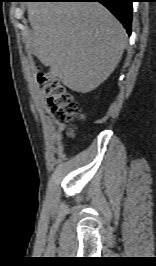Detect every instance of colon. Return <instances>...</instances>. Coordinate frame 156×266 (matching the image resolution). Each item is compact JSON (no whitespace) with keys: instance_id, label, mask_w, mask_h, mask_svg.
Instances as JSON below:
<instances>
[{"instance_id":"obj_1","label":"colon","mask_w":156,"mask_h":266,"mask_svg":"<svg viewBox=\"0 0 156 266\" xmlns=\"http://www.w3.org/2000/svg\"><path fill=\"white\" fill-rule=\"evenodd\" d=\"M38 81L43 85L48 104L58 118L69 125L67 136H73V123L84 118L79 106L61 82L51 72L40 71Z\"/></svg>"}]
</instances>
